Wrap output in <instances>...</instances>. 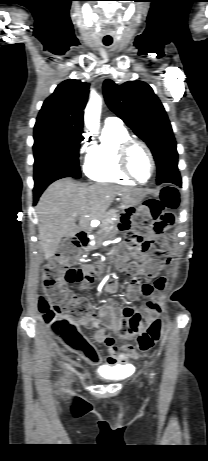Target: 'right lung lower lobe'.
<instances>
[{"label": "right lung lower lobe", "instance_id": "right-lung-lower-lobe-1", "mask_svg": "<svg viewBox=\"0 0 208 461\" xmlns=\"http://www.w3.org/2000/svg\"><path fill=\"white\" fill-rule=\"evenodd\" d=\"M64 177H70V176L67 175V174H64V173H56V174H51V175L45 177L44 179H42L39 182H35L34 190H33V192H34V205L37 203L38 198L40 197L42 192L45 190V188L49 184H51L55 180H58V179H61V178H64Z\"/></svg>", "mask_w": 208, "mask_h": 461}]
</instances>
